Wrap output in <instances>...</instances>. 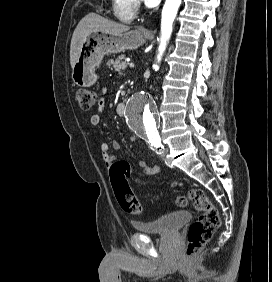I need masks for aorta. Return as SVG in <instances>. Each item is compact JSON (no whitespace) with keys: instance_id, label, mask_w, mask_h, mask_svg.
Here are the masks:
<instances>
[{"instance_id":"aorta-1","label":"aorta","mask_w":272,"mask_h":282,"mask_svg":"<svg viewBox=\"0 0 272 282\" xmlns=\"http://www.w3.org/2000/svg\"><path fill=\"white\" fill-rule=\"evenodd\" d=\"M181 0H166L161 18V37L157 61L160 62L169 41L173 22L176 18ZM126 122L136 134L152 140L159 139L158 111L147 89H140L130 96L126 107Z\"/></svg>"}]
</instances>
